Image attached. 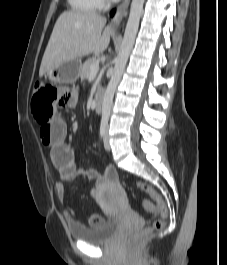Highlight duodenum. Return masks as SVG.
I'll list each match as a JSON object with an SVG mask.
<instances>
[{
    "instance_id": "410a0bca",
    "label": "duodenum",
    "mask_w": 227,
    "mask_h": 265,
    "mask_svg": "<svg viewBox=\"0 0 227 265\" xmlns=\"http://www.w3.org/2000/svg\"><path fill=\"white\" fill-rule=\"evenodd\" d=\"M102 106H103V96L101 93H99L94 101V110L97 114H101Z\"/></svg>"
}]
</instances>
